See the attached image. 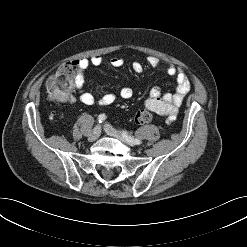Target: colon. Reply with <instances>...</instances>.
Instances as JSON below:
<instances>
[{"mask_svg": "<svg viewBox=\"0 0 247 247\" xmlns=\"http://www.w3.org/2000/svg\"><path fill=\"white\" fill-rule=\"evenodd\" d=\"M78 61H68L46 82V90L50 100L55 102L67 101L78 85ZM153 120V114L141 109L135 116L137 124H148Z\"/></svg>", "mask_w": 247, "mask_h": 247, "instance_id": "5ec220e1", "label": "colon"}]
</instances>
